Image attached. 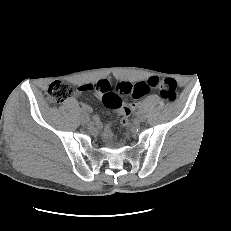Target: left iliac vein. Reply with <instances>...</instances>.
<instances>
[{"instance_id": "left-iliac-vein-1", "label": "left iliac vein", "mask_w": 231, "mask_h": 231, "mask_svg": "<svg viewBox=\"0 0 231 231\" xmlns=\"http://www.w3.org/2000/svg\"><path fill=\"white\" fill-rule=\"evenodd\" d=\"M137 118H138V120H139L140 122H143V121H145L146 116H145V114H144L143 112H139V113L137 114Z\"/></svg>"}]
</instances>
